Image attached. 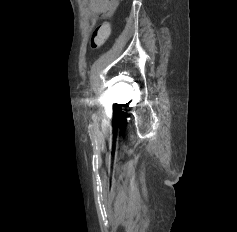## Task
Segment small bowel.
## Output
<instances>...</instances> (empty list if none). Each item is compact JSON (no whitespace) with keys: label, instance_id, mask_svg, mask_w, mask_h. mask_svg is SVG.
I'll return each mask as SVG.
<instances>
[{"label":"small bowel","instance_id":"small-bowel-1","mask_svg":"<svg viewBox=\"0 0 237 232\" xmlns=\"http://www.w3.org/2000/svg\"><path fill=\"white\" fill-rule=\"evenodd\" d=\"M118 5V0H90V9L98 15L111 14Z\"/></svg>","mask_w":237,"mask_h":232}]
</instances>
